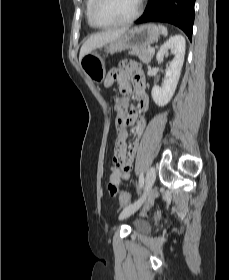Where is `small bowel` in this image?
Segmentation results:
<instances>
[{
	"label": "small bowel",
	"mask_w": 229,
	"mask_h": 280,
	"mask_svg": "<svg viewBox=\"0 0 229 280\" xmlns=\"http://www.w3.org/2000/svg\"><path fill=\"white\" fill-rule=\"evenodd\" d=\"M106 86L110 87L117 84L123 93L129 92L134 87L136 92V106L132 110H128V104L121 100L116 101L115 109L118 114H126L130 121H135V129L133 139L129 146L126 147L125 136L117 139L114 145L113 161L119 159L123 166L118 169L112 166L108 182L114 183L117 187L122 181L130 178L132 169V161L135 157L138 142L146 127V120L143 117L137 118V115L144 113L149 108V98L146 92V81L138 64L129 62L121 67H115L110 70L106 77Z\"/></svg>",
	"instance_id": "obj_1"
}]
</instances>
